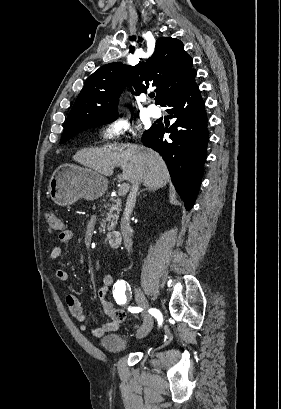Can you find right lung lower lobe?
Returning <instances> with one entry per match:
<instances>
[{
    "mask_svg": "<svg viewBox=\"0 0 281 409\" xmlns=\"http://www.w3.org/2000/svg\"><path fill=\"white\" fill-rule=\"evenodd\" d=\"M194 70L183 86L161 105L174 123L153 124L145 131L142 142L160 153L165 160L176 191L190 210L200 187L207 156L208 118L204 101L195 83ZM169 133L168 138H163Z\"/></svg>",
    "mask_w": 281,
    "mask_h": 409,
    "instance_id": "98d812e1",
    "label": "right lung lower lobe"
}]
</instances>
